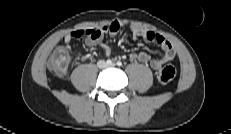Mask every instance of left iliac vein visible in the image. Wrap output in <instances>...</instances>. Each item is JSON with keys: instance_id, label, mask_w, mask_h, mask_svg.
<instances>
[{"instance_id": "obj_1", "label": "left iliac vein", "mask_w": 231, "mask_h": 134, "mask_svg": "<svg viewBox=\"0 0 231 134\" xmlns=\"http://www.w3.org/2000/svg\"><path fill=\"white\" fill-rule=\"evenodd\" d=\"M108 66H109V67H114L115 64H114V63H111V64H109Z\"/></svg>"}]
</instances>
